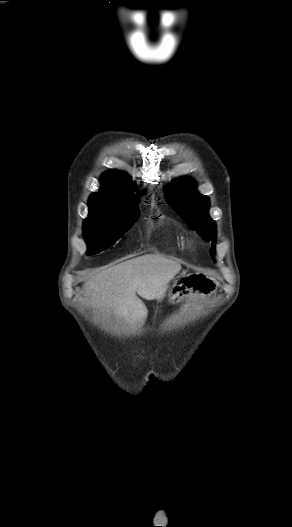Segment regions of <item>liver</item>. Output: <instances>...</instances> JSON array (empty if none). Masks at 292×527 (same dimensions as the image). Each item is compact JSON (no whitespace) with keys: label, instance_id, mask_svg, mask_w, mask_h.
<instances>
[{"label":"liver","instance_id":"liver-1","mask_svg":"<svg viewBox=\"0 0 292 527\" xmlns=\"http://www.w3.org/2000/svg\"><path fill=\"white\" fill-rule=\"evenodd\" d=\"M180 270L175 260L145 254L95 274L84 283V295L91 307L142 326L148 310L137 294L146 300L161 301Z\"/></svg>","mask_w":292,"mask_h":527}]
</instances>
